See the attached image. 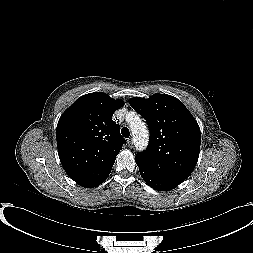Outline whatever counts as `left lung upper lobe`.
<instances>
[{
	"instance_id": "1",
	"label": "left lung upper lobe",
	"mask_w": 253,
	"mask_h": 253,
	"mask_svg": "<svg viewBox=\"0 0 253 253\" xmlns=\"http://www.w3.org/2000/svg\"><path fill=\"white\" fill-rule=\"evenodd\" d=\"M132 108L148 124L150 143L137 153V165L152 175L179 185L194 170L199 156L200 128L185 105L167 94L134 97Z\"/></svg>"
}]
</instances>
